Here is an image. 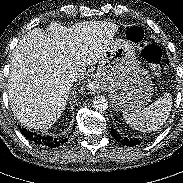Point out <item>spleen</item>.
I'll list each match as a JSON object with an SVG mask.
<instances>
[{"mask_svg":"<svg viewBox=\"0 0 183 183\" xmlns=\"http://www.w3.org/2000/svg\"><path fill=\"white\" fill-rule=\"evenodd\" d=\"M172 108V96L165 93L148 107L135 112H123L126 123L141 132L160 129L169 117Z\"/></svg>","mask_w":183,"mask_h":183,"instance_id":"obj_1","label":"spleen"}]
</instances>
